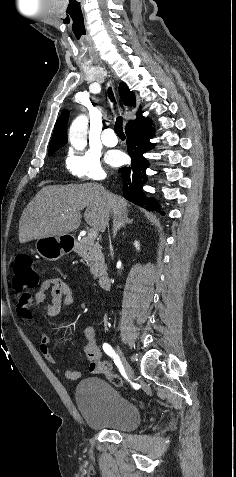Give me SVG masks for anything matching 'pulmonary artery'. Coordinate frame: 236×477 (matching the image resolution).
Listing matches in <instances>:
<instances>
[{
    "label": "pulmonary artery",
    "instance_id": "e3ab8cb5",
    "mask_svg": "<svg viewBox=\"0 0 236 477\" xmlns=\"http://www.w3.org/2000/svg\"><path fill=\"white\" fill-rule=\"evenodd\" d=\"M102 141L106 146L114 147L118 143V139L112 128H106L102 131Z\"/></svg>",
    "mask_w": 236,
    "mask_h": 477
}]
</instances>
